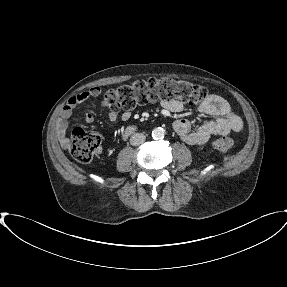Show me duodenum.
I'll return each mask as SVG.
<instances>
[{
  "instance_id": "410a0bca",
  "label": "duodenum",
  "mask_w": 287,
  "mask_h": 287,
  "mask_svg": "<svg viewBox=\"0 0 287 287\" xmlns=\"http://www.w3.org/2000/svg\"><path fill=\"white\" fill-rule=\"evenodd\" d=\"M133 127L132 126H129L127 129H126V135H129L133 132Z\"/></svg>"
}]
</instances>
